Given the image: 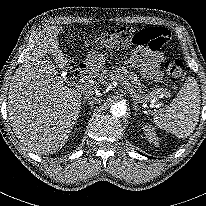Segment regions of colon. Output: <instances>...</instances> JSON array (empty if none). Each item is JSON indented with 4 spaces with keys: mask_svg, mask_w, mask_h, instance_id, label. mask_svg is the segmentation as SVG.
<instances>
[{
    "mask_svg": "<svg viewBox=\"0 0 206 206\" xmlns=\"http://www.w3.org/2000/svg\"><path fill=\"white\" fill-rule=\"evenodd\" d=\"M170 40V32L165 28L151 27L136 31L131 27H121L110 31L100 39L108 47H119L126 44L147 45L153 52L160 50ZM164 71L172 83H179L185 72L181 59H172L164 63ZM75 74V71H74Z\"/></svg>",
    "mask_w": 206,
    "mask_h": 206,
    "instance_id": "colon-1",
    "label": "colon"
}]
</instances>
